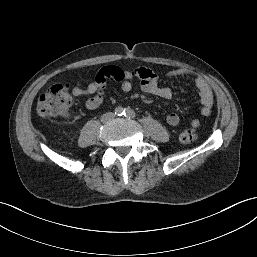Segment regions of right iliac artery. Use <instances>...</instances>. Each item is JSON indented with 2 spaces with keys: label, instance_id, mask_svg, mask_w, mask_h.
I'll return each mask as SVG.
<instances>
[{
  "label": "right iliac artery",
  "instance_id": "right-iliac-artery-1",
  "mask_svg": "<svg viewBox=\"0 0 257 257\" xmlns=\"http://www.w3.org/2000/svg\"><path fill=\"white\" fill-rule=\"evenodd\" d=\"M124 111H125V109H123L122 107H118L115 109V114L118 116H122V115H124Z\"/></svg>",
  "mask_w": 257,
  "mask_h": 257
}]
</instances>
